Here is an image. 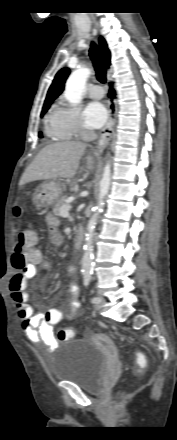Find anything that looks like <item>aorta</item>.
<instances>
[{
	"label": "aorta",
	"mask_w": 177,
	"mask_h": 440,
	"mask_svg": "<svg viewBox=\"0 0 177 440\" xmlns=\"http://www.w3.org/2000/svg\"><path fill=\"white\" fill-rule=\"evenodd\" d=\"M90 74L91 71L88 67L79 66L69 76L66 82L64 96L73 105L80 103L83 92L85 90L86 81L89 78ZM110 183H111V164L110 161H108L104 167L103 175L100 181L98 203L94 214L88 221L86 228L87 232L85 235V244L83 247V257H82V272L86 275H90L92 272L94 231L97 225L98 216L102 212L105 206L104 199L109 192Z\"/></svg>",
	"instance_id": "aorta-1"
}]
</instances>
